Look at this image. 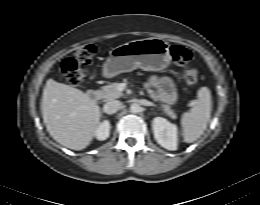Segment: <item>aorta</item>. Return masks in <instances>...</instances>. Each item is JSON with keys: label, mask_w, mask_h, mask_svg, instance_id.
<instances>
[{"label": "aorta", "mask_w": 260, "mask_h": 205, "mask_svg": "<svg viewBox=\"0 0 260 205\" xmlns=\"http://www.w3.org/2000/svg\"><path fill=\"white\" fill-rule=\"evenodd\" d=\"M140 110H141V107H140L139 104H137V103L131 104V106H130V112L131 113H139Z\"/></svg>", "instance_id": "1"}]
</instances>
